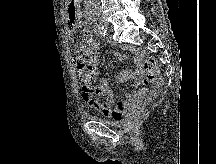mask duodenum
Here are the masks:
<instances>
[{"label": "duodenum", "instance_id": "duodenum-1", "mask_svg": "<svg viewBox=\"0 0 216 164\" xmlns=\"http://www.w3.org/2000/svg\"><path fill=\"white\" fill-rule=\"evenodd\" d=\"M68 9L73 7L75 9L76 0H68ZM95 4L89 3L87 4V13H88V21L91 23L93 21V11H94Z\"/></svg>", "mask_w": 216, "mask_h": 164}]
</instances>
